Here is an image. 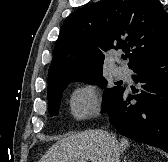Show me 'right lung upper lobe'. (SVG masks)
Segmentation results:
<instances>
[{
  "mask_svg": "<svg viewBox=\"0 0 168 162\" xmlns=\"http://www.w3.org/2000/svg\"><path fill=\"white\" fill-rule=\"evenodd\" d=\"M130 48V69L168 50V13L159 0H102L82 7L63 23L48 85L102 71L104 52Z\"/></svg>",
  "mask_w": 168,
  "mask_h": 162,
  "instance_id": "1",
  "label": "right lung upper lobe"
}]
</instances>
